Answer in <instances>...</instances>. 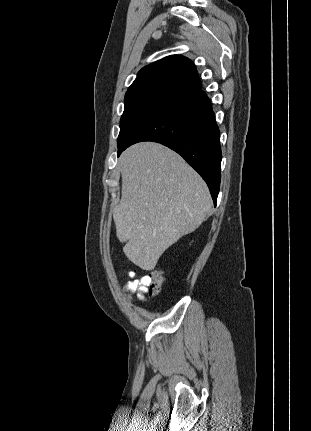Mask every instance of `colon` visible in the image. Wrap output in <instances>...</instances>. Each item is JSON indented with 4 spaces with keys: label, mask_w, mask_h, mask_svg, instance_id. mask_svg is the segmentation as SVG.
Wrapping results in <instances>:
<instances>
[{
    "label": "colon",
    "mask_w": 311,
    "mask_h": 431,
    "mask_svg": "<svg viewBox=\"0 0 311 431\" xmlns=\"http://www.w3.org/2000/svg\"><path fill=\"white\" fill-rule=\"evenodd\" d=\"M150 291L157 294L164 284V275L160 270L153 271L150 275Z\"/></svg>",
    "instance_id": "colon-1"
}]
</instances>
